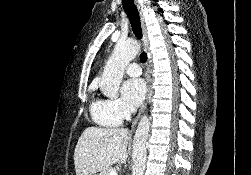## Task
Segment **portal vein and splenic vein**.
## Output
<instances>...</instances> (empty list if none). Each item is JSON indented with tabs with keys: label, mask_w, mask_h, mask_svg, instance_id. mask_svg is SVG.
Here are the masks:
<instances>
[{
	"label": "portal vein and splenic vein",
	"mask_w": 251,
	"mask_h": 175,
	"mask_svg": "<svg viewBox=\"0 0 251 175\" xmlns=\"http://www.w3.org/2000/svg\"><path fill=\"white\" fill-rule=\"evenodd\" d=\"M109 175H118L117 171H110Z\"/></svg>",
	"instance_id": "18ae733b"
}]
</instances>
